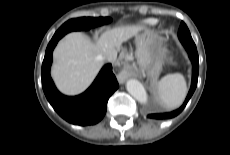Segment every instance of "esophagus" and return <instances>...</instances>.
Listing matches in <instances>:
<instances>
[{
  "label": "esophagus",
  "instance_id": "obj_1",
  "mask_svg": "<svg viewBox=\"0 0 230 155\" xmlns=\"http://www.w3.org/2000/svg\"><path fill=\"white\" fill-rule=\"evenodd\" d=\"M129 76H130V74H129L127 71H125V70L121 71V72L117 75L118 82H119L120 84L124 83L125 80H126Z\"/></svg>",
  "mask_w": 230,
  "mask_h": 155
}]
</instances>
